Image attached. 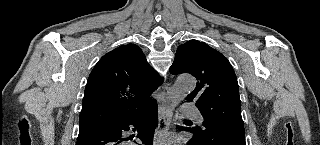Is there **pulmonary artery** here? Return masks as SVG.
<instances>
[{"mask_svg": "<svg viewBox=\"0 0 320 145\" xmlns=\"http://www.w3.org/2000/svg\"><path fill=\"white\" fill-rule=\"evenodd\" d=\"M183 113L187 116L192 117L193 119H195L198 122H203V116L201 115V113L198 111L197 108L195 107H187L183 110Z\"/></svg>", "mask_w": 320, "mask_h": 145, "instance_id": "1", "label": "pulmonary artery"}]
</instances>
